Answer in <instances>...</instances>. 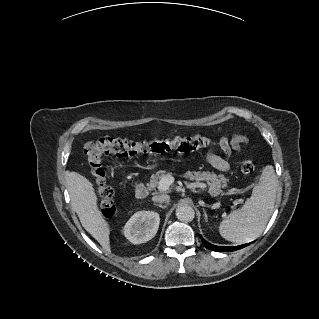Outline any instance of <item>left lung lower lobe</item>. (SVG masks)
<instances>
[{
  "mask_svg": "<svg viewBox=\"0 0 319 319\" xmlns=\"http://www.w3.org/2000/svg\"><path fill=\"white\" fill-rule=\"evenodd\" d=\"M201 240H202V243L204 244V246L210 250H213V251H218V252H221V251H224V252H231V251H236L240 248H243L248 244H244V245H240V246H233V247H223V246H216V245H212L210 243H208L206 240H204L202 237H201Z\"/></svg>",
  "mask_w": 319,
  "mask_h": 319,
  "instance_id": "obj_1",
  "label": "left lung lower lobe"
}]
</instances>
